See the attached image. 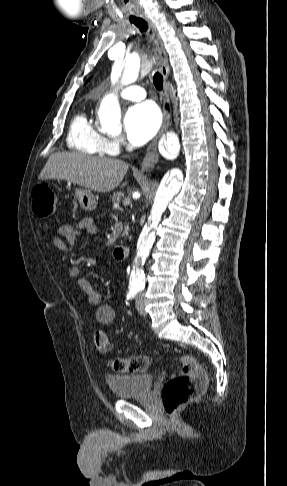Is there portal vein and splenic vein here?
Here are the masks:
<instances>
[{
	"instance_id": "1",
	"label": "portal vein and splenic vein",
	"mask_w": 287,
	"mask_h": 486,
	"mask_svg": "<svg viewBox=\"0 0 287 486\" xmlns=\"http://www.w3.org/2000/svg\"><path fill=\"white\" fill-rule=\"evenodd\" d=\"M123 204H124V205H129V204H130V201H129V200H124V201H123Z\"/></svg>"
}]
</instances>
